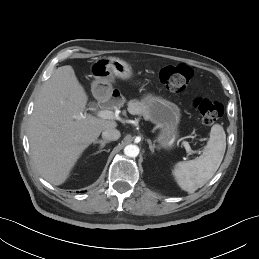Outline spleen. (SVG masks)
Wrapping results in <instances>:
<instances>
[{
  "mask_svg": "<svg viewBox=\"0 0 259 259\" xmlns=\"http://www.w3.org/2000/svg\"><path fill=\"white\" fill-rule=\"evenodd\" d=\"M225 149V131L221 125L214 124L203 154L194 160L180 161L175 164L172 173L180 188L188 193H194L204 186L219 168Z\"/></svg>",
  "mask_w": 259,
  "mask_h": 259,
  "instance_id": "3e777b00",
  "label": "spleen"
}]
</instances>
